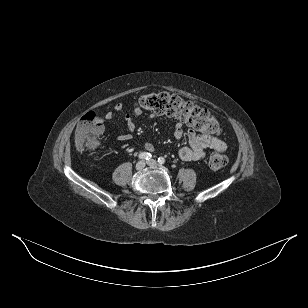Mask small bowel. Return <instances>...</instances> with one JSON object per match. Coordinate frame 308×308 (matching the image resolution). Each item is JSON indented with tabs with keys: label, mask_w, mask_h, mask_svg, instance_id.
I'll list each match as a JSON object with an SVG mask.
<instances>
[{
	"label": "small bowel",
	"mask_w": 308,
	"mask_h": 308,
	"mask_svg": "<svg viewBox=\"0 0 308 308\" xmlns=\"http://www.w3.org/2000/svg\"><path fill=\"white\" fill-rule=\"evenodd\" d=\"M123 104L118 103L115 105L114 110L116 113L123 111ZM142 115V111L139 108H135L132 113L125 114L123 117V124L127 127V132L118 136V140L121 142L130 141L133 138V134L137 129V121ZM156 114H149L148 119H153ZM115 119V115L112 112H108L103 118H100L103 124L111 122ZM174 135L176 138H182L185 135V131L181 123L174 125ZM187 138L189 145L179 149L178 156L184 161H199L205 157L206 149H213L224 152L226 150V144L220 138L203 133H198L195 129L190 128L187 131ZM145 148L148 151H153V145L149 142L145 143Z\"/></svg>",
	"instance_id": "small-bowel-1"
}]
</instances>
